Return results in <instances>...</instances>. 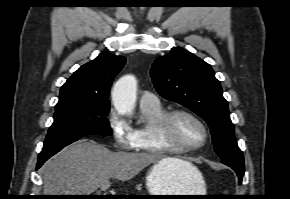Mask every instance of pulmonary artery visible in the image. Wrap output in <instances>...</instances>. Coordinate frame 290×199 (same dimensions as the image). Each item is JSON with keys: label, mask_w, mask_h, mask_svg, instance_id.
<instances>
[{"label": "pulmonary artery", "mask_w": 290, "mask_h": 199, "mask_svg": "<svg viewBox=\"0 0 290 199\" xmlns=\"http://www.w3.org/2000/svg\"><path fill=\"white\" fill-rule=\"evenodd\" d=\"M139 103H140V106H146V107L160 106V101L158 97L149 91H144L141 93Z\"/></svg>", "instance_id": "pulmonary-artery-1"}]
</instances>
